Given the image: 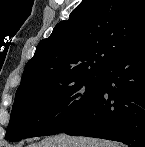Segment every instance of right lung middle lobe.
<instances>
[{
  "label": "right lung middle lobe",
  "instance_id": "right-lung-middle-lobe-1",
  "mask_svg": "<svg viewBox=\"0 0 145 147\" xmlns=\"http://www.w3.org/2000/svg\"><path fill=\"white\" fill-rule=\"evenodd\" d=\"M101 73L86 74L57 89L17 93L5 138L11 142L65 131L96 96Z\"/></svg>",
  "mask_w": 145,
  "mask_h": 147
}]
</instances>
